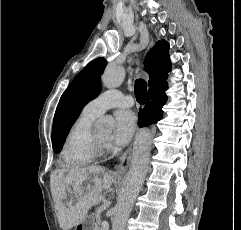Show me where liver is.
<instances>
[{
  "label": "liver",
  "mask_w": 241,
  "mask_h": 230,
  "mask_svg": "<svg viewBox=\"0 0 241 230\" xmlns=\"http://www.w3.org/2000/svg\"><path fill=\"white\" fill-rule=\"evenodd\" d=\"M113 182V174L100 166L55 170L51 174L50 183L60 228L69 230L80 224L89 209L99 203L102 193L110 189ZM67 191L73 192L75 199L65 205Z\"/></svg>",
  "instance_id": "1"
}]
</instances>
